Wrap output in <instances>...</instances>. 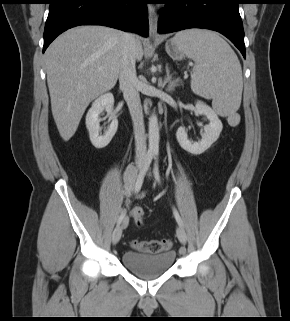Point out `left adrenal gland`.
<instances>
[{
    "instance_id": "left-adrenal-gland-1",
    "label": "left adrenal gland",
    "mask_w": 290,
    "mask_h": 321,
    "mask_svg": "<svg viewBox=\"0 0 290 321\" xmlns=\"http://www.w3.org/2000/svg\"><path fill=\"white\" fill-rule=\"evenodd\" d=\"M166 91L167 92H172L175 87L179 86V83L172 79V76L170 75V68L168 64L166 65V77L164 79V84H167Z\"/></svg>"
}]
</instances>
